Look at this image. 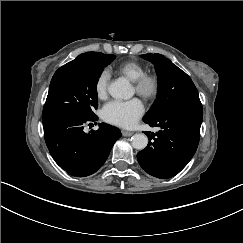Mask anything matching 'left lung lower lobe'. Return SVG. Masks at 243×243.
Returning a JSON list of instances; mask_svg holds the SVG:
<instances>
[{
	"label": "left lung lower lobe",
	"instance_id": "1",
	"mask_svg": "<svg viewBox=\"0 0 243 243\" xmlns=\"http://www.w3.org/2000/svg\"><path fill=\"white\" fill-rule=\"evenodd\" d=\"M203 119L201 103H182L171 107L150 126H158L154 141L146 132L148 146L137 154L140 166L150 175L167 179L178 174L191 160L200 139Z\"/></svg>",
	"mask_w": 243,
	"mask_h": 243
}]
</instances>
